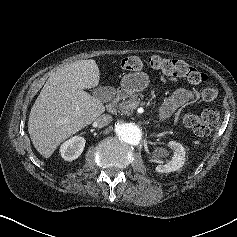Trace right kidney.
<instances>
[{
    "mask_svg": "<svg viewBox=\"0 0 237 237\" xmlns=\"http://www.w3.org/2000/svg\"><path fill=\"white\" fill-rule=\"evenodd\" d=\"M85 139L81 136H74L60 146V153L64 160L73 161L77 159L84 150Z\"/></svg>",
    "mask_w": 237,
    "mask_h": 237,
    "instance_id": "right-kidney-1",
    "label": "right kidney"
}]
</instances>
